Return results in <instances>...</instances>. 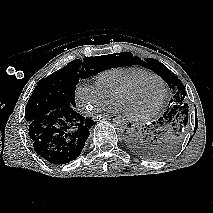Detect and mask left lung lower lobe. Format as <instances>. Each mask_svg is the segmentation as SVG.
I'll use <instances>...</instances> for the list:
<instances>
[{
	"mask_svg": "<svg viewBox=\"0 0 213 213\" xmlns=\"http://www.w3.org/2000/svg\"><path fill=\"white\" fill-rule=\"evenodd\" d=\"M166 117L167 114H164L158 121L151 122L140 129L131 128L129 124V129H125L124 134L127 147L138 156L154 159L156 139L163 131Z\"/></svg>",
	"mask_w": 213,
	"mask_h": 213,
	"instance_id": "obj_1",
	"label": "left lung lower lobe"
}]
</instances>
